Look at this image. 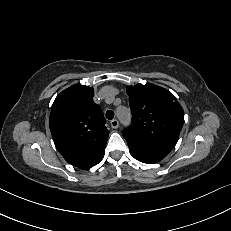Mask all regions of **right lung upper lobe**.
Here are the masks:
<instances>
[{
	"label": "right lung upper lobe",
	"mask_w": 231,
	"mask_h": 231,
	"mask_svg": "<svg viewBox=\"0 0 231 231\" xmlns=\"http://www.w3.org/2000/svg\"><path fill=\"white\" fill-rule=\"evenodd\" d=\"M93 88L73 85L55 99L49 117L55 145L64 159L80 169L98 164L104 156L109 131Z\"/></svg>",
	"instance_id": "1"
}]
</instances>
